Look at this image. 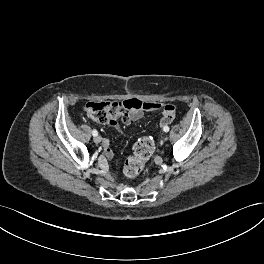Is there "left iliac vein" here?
Segmentation results:
<instances>
[{
  "label": "left iliac vein",
  "mask_w": 264,
  "mask_h": 264,
  "mask_svg": "<svg viewBox=\"0 0 264 264\" xmlns=\"http://www.w3.org/2000/svg\"><path fill=\"white\" fill-rule=\"evenodd\" d=\"M169 136L167 135L166 137H164V142H169Z\"/></svg>",
  "instance_id": "left-iliac-vein-1"
}]
</instances>
